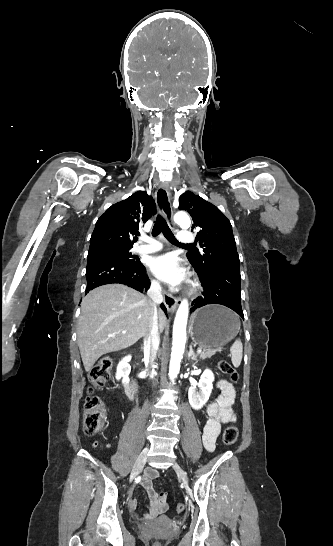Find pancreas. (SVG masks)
Returning a JSON list of instances; mask_svg holds the SVG:
<instances>
[{"label": "pancreas", "instance_id": "cf45deb5", "mask_svg": "<svg viewBox=\"0 0 333 546\" xmlns=\"http://www.w3.org/2000/svg\"><path fill=\"white\" fill-rule=\"evenodd\" d=\"M215 353H216L215 349L208 348V349H205L203 352L199 353L198 355L200 359L204 360L206 358L212 357Z\"/></svg>", "mask_w": 333, "mask_h": 546}]
</instances>
